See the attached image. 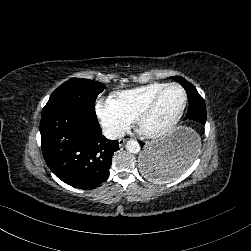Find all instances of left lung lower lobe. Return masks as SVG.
I'll return each instance as SVG.
<instances>
[{
	"mask_svg": "<svg viewBox=\"0 0 251 251\" xmlns=\"http://www.w3.org/2000/svg\"><path fill=\"white\" fill-rule=\"evenodd\" d=\"M187 95L189 108L183 131L171 140L145 148L140 156L139 169L152 182L164 183L177 178L194 163L199 154L206 106L203 98Z\"/></svg>",
	"mask_w": 251,
	"mask_h": 251,
	"instance_id": "0a47b994",
	"label": "left lung lower lobe"
}]
</instances>
